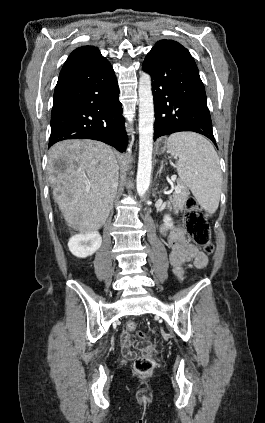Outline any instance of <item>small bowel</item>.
Masks as SVG:
<instances>
[{
    "label": "small bowel",
    "mask_w": 265,
    "mask_h": 423,
    "mask_svg": "<svg viewBox=\"0 0 265 423\" xmlns=\"http://www.w3.org/2000/svg\"><path fill=\"white\" fill-rule=\"evenodd\" d=\"M160 231L166 237L167 243L171 248L170 262L178 279L183 278L184 270L182 265L186 262H192L198 269H203L208 265L207 256L193 244L186 242L184 231L181 227H177L168 233L166 226L163 225ZM120 344L124 357L127 359L133 358L135 352L132 350V342L127 332L121 334Z\"/></svg>",
    "instance_id": "obj_1"
}]
</instances>
